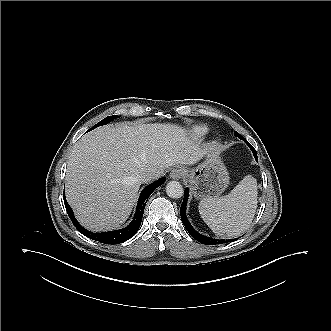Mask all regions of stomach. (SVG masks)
<instances>
[{"mask_svg": "<svg viewBox=\"0 0 331 331\" xmlns=\"http://www.w3.org/2000/svg\"><path fill=\"white\" fill-rule=\"evenodd\" d=\"M185 170V178L192 185L197 199L217 198L229 184L227 168L215 151L207 152L197 167Z\"/></svg>", "mask_w": 331, "mask_h": 331, "instance_id": "stomach-1", "label": "stomach"}]
</instances>
